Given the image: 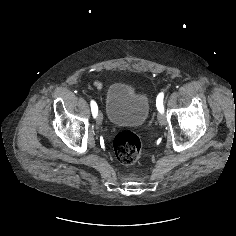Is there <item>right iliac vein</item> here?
<instances>
[{"mask_svg":"<svg viewBox=\"0 0 236 236\" xmlns=\"http://www.w3.org/2000/svg\"><path fill=\"white\" fill-rule=\"evenodd\" d=\"M102 121H103V115H102L101 112H99L98 115H97V122H98L99 124H101Z\"/></svg>","mask_w":236,"mask_h":236,"instance_id":"obj_1","label":"right iliac vein"}]
</instances>
